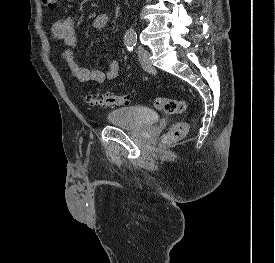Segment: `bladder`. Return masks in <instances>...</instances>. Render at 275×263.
Masks as SVG:
<instances>
[{
	"mask_svg": "<svg viewBox=\"0 0 275 263\" xmlns=\"http://www.w3.org/2000/svg\"><path fill=\"white\" fill-rule=\"evenodd\" d=\"M106 119L114 126L140 129L155 124L158 114L144 106L121 107L108 112Z\"/></svg>",
	"mask_w": 275,
	"mask_h": 263,
	"instance_id": "1",
	"label": "bladder"
}]
</instances>
